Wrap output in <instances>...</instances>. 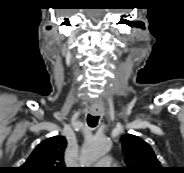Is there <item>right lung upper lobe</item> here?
Here are the masks:
<instances>
[{"mask_svg":"<svg viewBox=\"0 0 184 173\" xmlns=\"http://www.w3.org/2000/svg\"><path fill=\"white\" fill-rule=\"evenodd\" d=\"M65 148L66 139L63 136L41 142L19 168L20 173H67L64 166Z\"/></svg>","mask_w":184,"mask_h":173,"instance_id":"cb5924a9","label":"right lung upper lobe"}]
</instances>
